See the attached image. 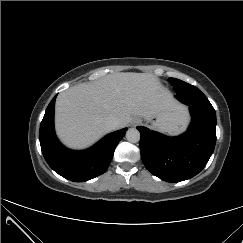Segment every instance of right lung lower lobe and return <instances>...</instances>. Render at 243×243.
<instances>
[{
  "label": "right lung lower lobe",
  "mask_w": 243,
  "mask_h": 243,
  "mask_svg": "<svg viewBox=\"0 0 243 243\" xmlns=\"http://www.w3.org/2000/svg\"><path fill=\"white\" fill-rule=\"evenodd\" d=\"M56 96L48 105L40 125L39 140L46 162L56 173L74 182H84L103 174L127 128L106 135L87 150H69L60 144L54 131Z\"/></svg>",
  "instance_id": "right-lung-lower-lobe-1"
}]
</instances>
